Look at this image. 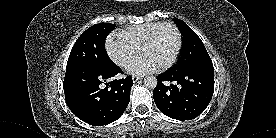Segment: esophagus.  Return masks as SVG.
<instances>
[{
	"label": "esophagus",
	"mask_w": 276,
	"mask_h": 138,
	"mask_svg": "<svg viewBox=\"0 0 276 138\" xmlns=\"http://www.w3.org/2000/svg\"><path fill=\"white\" fill-rule=\"evenodd\" d=\"M140 79H141L140 76H133V77H132V80H133L134 83L137 82V81L140 80Z\"/></svg>",
	"instance_id": "obj_1"
}]
</instances>
